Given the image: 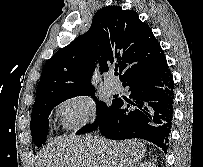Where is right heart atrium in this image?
<instances>
[{
	"label": "right heart atrium",
	"mask_w": 203,
	"mask_h": 167,
	"mask_svg": "<svg viewBox=\"0 0 203 167\" xmlns=\"http://www.w3.org/2000/svg\"><path fill=\"white\" fill-rule=\"evenodd\" d=\"M94 110L93 100L84 94L66 98L57 108L62 126L71 132L87 126L93 120Z\"/></svg>",
	"instance_id": "right-heart-atrium-1"
}]
</instances>
